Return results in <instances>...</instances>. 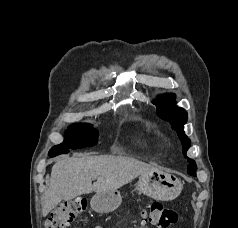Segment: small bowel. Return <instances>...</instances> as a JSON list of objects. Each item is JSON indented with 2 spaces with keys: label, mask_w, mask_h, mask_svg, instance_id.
<instances>
[{
  "label": "small bowel",
  "mask_w": 238,
  "mask_h": 228,
  "mask_svg": "<svg viewBox=\"0 0 238 228\" xmlns=\"http://www.w3.org/2000/svg\"><path fill=\"white\" fill-rule=\"evenodd\" d=\"M95 228H103V227H101V226H96Z\"/></svg>",
  "instance_id": "obj_1"
}]
</instances>
